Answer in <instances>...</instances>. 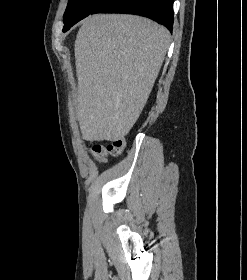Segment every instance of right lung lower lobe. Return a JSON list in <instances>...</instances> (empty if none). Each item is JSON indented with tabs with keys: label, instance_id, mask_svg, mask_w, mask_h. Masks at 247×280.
Wrapping results in <instances>:
<instances>
[{
	"label": "right lung lower lobe",
	"instance_id": "1",
	"mask_svg": "<svg viewBox=\"0 0 247 280\" xmlns=\"http://www.w3.org/2000/svg\"><path fill=\"white\" fill-rule=\"evenodd\" d=\"M173 2L174 0H105L93 12H121L131 13L151 18L173 29ZM70 29L67 28L64 31Z\"/></svg>",
	"mask_w": 247,
	"mask_h": 280
}]
</instances>
